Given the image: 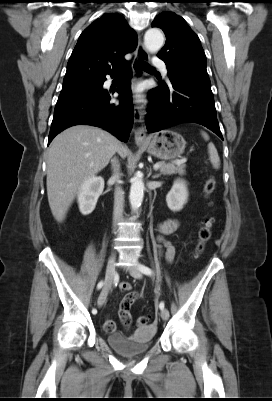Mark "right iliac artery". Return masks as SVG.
Instances as JSON below:
<instances>
[{"label":"right iliac artery","instance_id":"82829eb1","mask_svg":"<svg viewBox=\"0 0 272 401\" xmlns=\"http://www.w3.org/2000/svg\"><path fill=\"white\" fill-rule=\"evenodd\" d=\"M103 281H100L99 283H98V285H97V288L98 289H100V288H102V286H103ZM92 313L93 314H96L97 313V310L94 308V309H92Z\"/></svg>","mask_w":272,"mask_h":401}]
</instances>
